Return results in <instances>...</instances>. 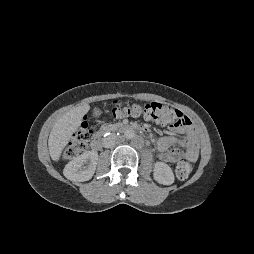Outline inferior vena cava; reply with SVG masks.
<instances>
[{
	"label": "inferior vena cava",
	"mask_w": 254,
	"mask_h": 254,
	"mask_svg": "<svg viewBox=\"0 0 254 254\" xmlns=\"http://www.w3.org/2000/svg\"><path fill=\"white\" fill-rule=\"evenodd\" d=\"M116 135H108L103 139V146L105 148H113L116 144Z\"/></svg>",
	"instance_id": "1"
}]
</instances>
